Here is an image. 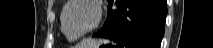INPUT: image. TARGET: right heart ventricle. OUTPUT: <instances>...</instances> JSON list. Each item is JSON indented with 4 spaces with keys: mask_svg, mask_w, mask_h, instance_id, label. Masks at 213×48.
<instances>
[{
    "mask_svg": "<svg viewBox=\"0 0 213 48\" xmlns=\"http://www.w3.org/2000/svg\"><path fill=\"white\" fill-rule=\"evenodd\" d=\"M66 35V34H65ZM66 37L70 40V41H73V40H75L76 38H73V37H70V36H67L66 35Z\"/></svg>",
    "mask_w": 213,
    "mask_h": 48,
    "instance_id": "1",
    "label": "right heart ventricle"
}]
</instances>
